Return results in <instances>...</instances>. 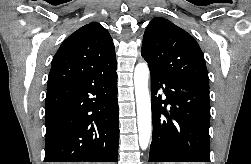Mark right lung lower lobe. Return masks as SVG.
<instances>
[{
  "mask_svg": "<svg viewBox=\"0 0 251 164\" xmlns=\"http://www.w3.org/2000/svg\"><path fill=\"white\" fill-rule=\"evenodd\" d=\"M116 66L47 89L45 162H117Z\"/></svg>",
  "mask_w": 251,
  "mask_h": 164,
  "instance_id": "98d812e1",
  "label": "right lung lower lobe"
}]
</instances>
